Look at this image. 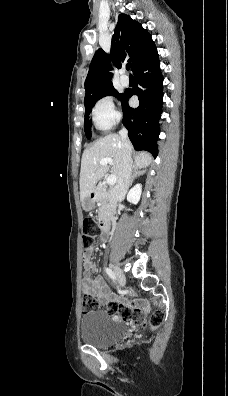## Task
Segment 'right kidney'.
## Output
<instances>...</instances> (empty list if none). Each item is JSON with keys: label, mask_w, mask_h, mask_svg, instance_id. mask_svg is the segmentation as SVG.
<instances>
[{"label": "right kidney", "mask_w": 228, "mask_h": 396, "mask_svg": "<svg viewBox=\"0 0 228 396\" xmlns=\"http://www.w3.org/2000/svg\"><path fill=\"white\" fill-rule=\"evenodd\" d=\"M142 193V185L136 184L127 194L128 202L132 204H137L140 200Z\"/></svg>", "instance_id": "obj_1"}]
</instances>
